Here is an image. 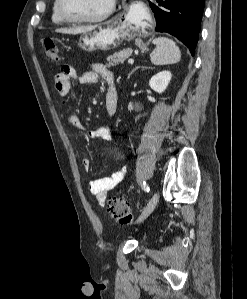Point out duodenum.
I'll list each match as a JSON object with an SVG mask.
<instances>
[{
    "mask_svg": "<svg viewBox=\"0 0 247 299\" xmlns=\"http://www.w3.org/2000/svg\"><path fill=\"white\" fill-rule=\"evenodd\" d=\"M116 112V108L113 105L107 107L108 116H113Z\"/></svg>",
    "mask_w": 247,
    "mask_h": 299,
    "instance_id": "410a0bca",
    "label": "duodenum"
}]
</instances>
